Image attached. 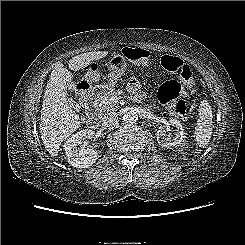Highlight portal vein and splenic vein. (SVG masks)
I'll return each mask as SVG.
<instances>
[{"label":"portal vein and splenic vein","instance_id":"obj_1","mask_svg":"<svg viewBox=\"0 0 245 245\" xmlns=\"http://www.w3.org/2000/svg\"><path fill=\"white\" fill-rule=\"evenodd\" d=\"M111 101H113L114 103H116L117 102V97H112L111 98Z\"/></svg>","mask_w":245,"mask_h":245}]
</instances>
